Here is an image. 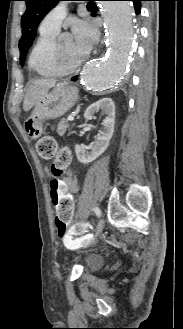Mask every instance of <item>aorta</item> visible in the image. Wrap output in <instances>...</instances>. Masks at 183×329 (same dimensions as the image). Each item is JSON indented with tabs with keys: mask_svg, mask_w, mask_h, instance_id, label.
<instances>
[{
	"mask_svg": "<svg viewBox=\"0 0 183 329\" xmlns=\"http://www.w3.org/2000/svg\"><path fill=\"white\" fill-rule=\"evenodd\" d=\"M102 13L108 39V52L101 61L91 62L82 73L84 87L110 91L123 75L133 41V8L128 1H103Z\"/></svg>",
	"mask_w": 183,
	"mask_h": 329,
	"instance_id": "obj_1",
	"label": "aorta"
}]
</instances>
